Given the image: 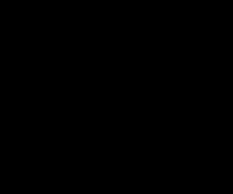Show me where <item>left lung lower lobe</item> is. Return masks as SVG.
I'll return each mask as SVG.
<instances>
[{
	"label": "left lung lower lobe",
	"instance_id": "1",
	"mask_svg": "<svg viewBox=\"0 0 233 194\" xmlns=\"http://www.w3.org/2000/svg\"><path fill=\"white\" fill-rule=\"evenodd\" d=\"M181 158V154H160L149 151L145 157V165L152 170H163L172 166Z\"/></svg>",
	"mask_w": 233,
	"mask_h": 194
}]
</instances>
